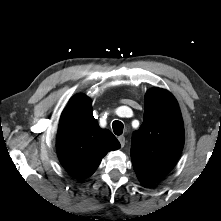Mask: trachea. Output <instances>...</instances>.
Listing matches in <instances>:
<instances>
[{"label":"trachea","instance_id":"1","mask_svg":"<svg viewBox=\"0 0 221 221\" xmlns=\"http://www.w3.org/2000/svg\"><path fill=\"white\" fill-rule=\"evenodd\" d=\"M112 128L116 135H121L123 133V123L121 121H114L112 123Z\"/></svg>","mask_w":221,"mask_h":221}]
</instances>
